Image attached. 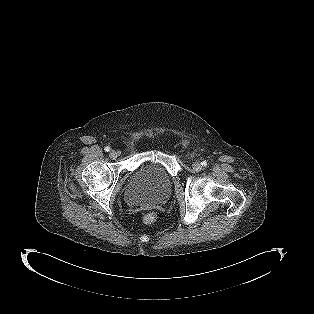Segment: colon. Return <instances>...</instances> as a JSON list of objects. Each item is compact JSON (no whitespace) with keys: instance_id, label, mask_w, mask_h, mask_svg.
Here are the masks:
<instances>
[{"instance_id":"obj_1","label":"colon","mask_w":314,"mask_h":314,"mask_svg":"<svg viewBox=\"0 0 314 314\" xmlns=\"http://www.w3.org/2000/svg\"><path fill=\"white\" fill-rule=\"evenodd\" d=\"M156 218H157V216L153 212H148V213L143 215V221L147 224L154 223L156 221Z\"/></svg>"}]
</instances>
